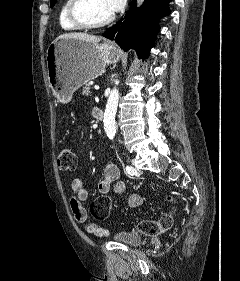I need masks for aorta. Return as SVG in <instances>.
<instances>
[{
	"label": "aorta",
	"instance_id": "obj_1",
	"mask_svg": "<svg viewBox=\"0 0 240 281\" xmlns=\"http://www.w3.org/2000/svg\"><path fill=\"white\" fill-rule=\"evenodd\" d=\"M144 0H137L138 5L142 4ZM119 101V91L113 88L108 97L105 113H104V130L109 139H114L116 134L115 115Z\"/></svg>",
	"mask_w": 240,
	"mask_h": 281
}]
</instances>
